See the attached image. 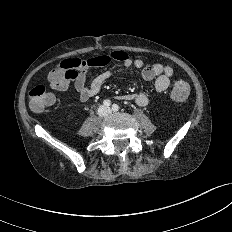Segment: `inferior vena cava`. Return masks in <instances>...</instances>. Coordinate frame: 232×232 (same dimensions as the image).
Returning <instances> with one entry per match:
<instances>
[{
  "label": "inferior vena cava",
  "instance_id": "1",
  "mask_svg": "<svg viewBox=\"0 0 232 232\" xmlns=\"http://www.w3.org/2000/svg\"><path fill=\"white\" fill-rule=\"evenodd\" d=\"M109 113H111L110 108L104 107V110H101V109L99 108V111H98V114H99V115H107V114H109Z\"/></svg>",
  "mask_w": 232,
  "mask_h": 232
}]
</instances>
